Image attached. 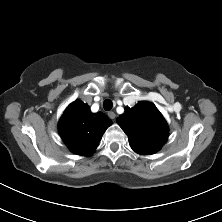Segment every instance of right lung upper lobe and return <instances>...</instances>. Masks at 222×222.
<instances>
[{"mask_svg":"<svg viewBox=\"0 0 222 222\" xmlns=\"http://www.w3.org/2000/svg\"><path fill=\"white\" fill-rule=\"evenodd\" d=\"M110 125L111 120L105 114H94L87 104L76 100L63 113L59 121V132L73 153L90 156Z\"/></svg>","mask_w":222,"mask_h":222,"instance_id":"obj_1","label":"right lung upper lobe"}]
</instances>
